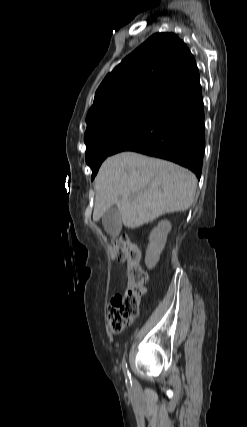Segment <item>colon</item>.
Masks as SVG:
<instances>
[{
  "label": "colon",
  "mask_w": 247,
  "mask_h": 427,
  "mask_svg": "<svg viewBox=\"0 0 247 427\" xmlns=\"http://www.w3.org/2000/svg\"><path fill=\"white\" fill-rule=\"evenodd\" d=\"M111 256L118 261H127V287L124 293L115 295L108 308L111 329L120 333L138 315L142 296L146 293L148 274L142 268V251L127 235L111 242Z\"/></svg>",
  "instance_id": "colon-1"
}]
</instances>
